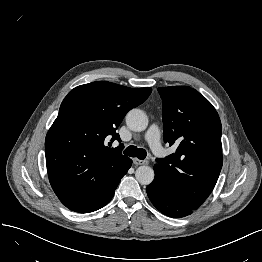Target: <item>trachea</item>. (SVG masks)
Masks as SVG:
<instances>
[{
  "mask_svg": "<svg viewBox=\"0 0 262 262\" xmlns=\"http://www.w3.org/2000/svg\"><path fill=\"white\" fill-rule=\"evenodd\" d=\"M124 154L143 160L146 158L147 152L142 148H137L136 146L130 145L124 150Z\"/></svg>",
  "mask_w": 262,
  "mask_h": 262,
  "instance_id": "trachea-1",
  "label": "trachea"
}]
</instances>
